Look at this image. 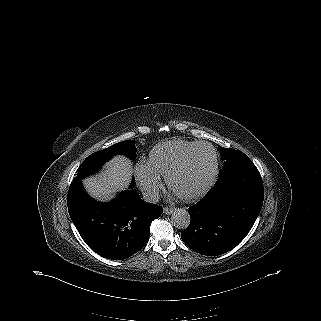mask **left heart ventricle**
<instances>
[{
  "mask_svg": "<svg viewBox=\"0 0 321 321\" xmlns=\"http://www.w3.org/2000/svg\"><path fill=\"white\" fill-rule=\"evenodd\" d=\"M213 170L212 150L200 147L193 153L187 166L173 177L171 191L179 196L194 194L208 183Z\"/></svg>",
  "mask_w": 321,
  "mask_h": 321,
  "instance_id": "left-heart-ventricle-1",
  "label": "left heart ventricle"
}]
</instances>
